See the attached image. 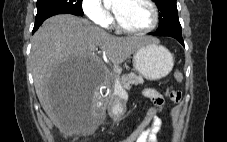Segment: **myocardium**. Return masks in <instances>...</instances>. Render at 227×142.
<instances>
[{
  "label": "myocardium",
  "instance_id": "obj_1",
  "mask_svg": "<svg viewBox=\"0 0 227 142\" xmlns=\"http://www.w3.org/2000/svg\"><path fill=\"white\" fill-rule=\"evenodd\" d=\"M145 2L150 7L151 16H152L151 22L147 27L142 28V29L128 28L119 21V19L113 12V23H114L115 28L123 33L131 34V35H143V34H147V33L151 32L152 30H154L159 22V10H158L156 3L153 0H145Z\"/></svg>",
  "mask_w": 227,
  "mask_h": 142
}]
</instances>
